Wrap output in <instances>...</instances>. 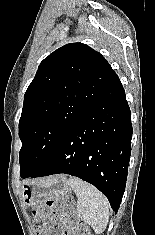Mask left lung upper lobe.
<instances>
[{"mask_svg":"<svg viewBox=\"0 0 155 235\" xmlns=\"http://www.w3.org/2000/svg\"><path fill=\"white\" fill-rule=\"evenodd\" d=\"M114 76L106 59L82 43L66 44L41 62L19 120L22 178L48 162Z\"/></svg>","mask_w":155,"mask_h":235,"instance_id":"5c2ea615","label":"left lung upper lobe"}]
</instances>
